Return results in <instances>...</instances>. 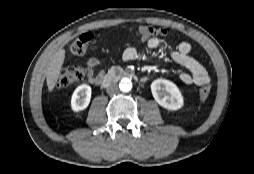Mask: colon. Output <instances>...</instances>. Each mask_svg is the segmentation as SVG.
Returning a JSON list of instances; mask_svg holds the SVG:
<instances>
[{"mask_svg": "<svg viewBox=\"0 0 254 174\" xmlns=\"http://www.w3.org/2000/svg\"><path fill=\"white\" fill-rule=\"evenodd\" d=\"M167 31L162 28H154L151 26H141L136 30L137 39L144 41L146 39L155 37V36H165ZM92 40V35L90 33H85L78 37L75 41L72 42L70 46V52L74 56H80L86 52ZM84 77V70L78 66H70L60 70L56 88L62 89L73 83H76L82 80ZM211 93V86L204 85L199 92V97L201 100H206Z\"/></svg>", "mask_w": 254, "mask_h": 174, "instance_id": "5ec220e1", "label": "colon"}]
</instances>
